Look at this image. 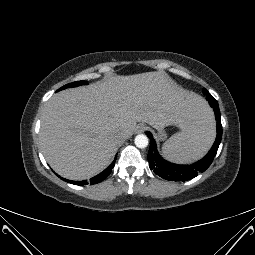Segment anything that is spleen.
Returning <instances> with one entry per match:
<instances>
[{
    "label": "spleen",
    "mask_w": 255,
    "mask_h": 255,
    "mask_svg": "<svg viewBox=\"0 0 255 255\" xmlns=\"http://www.w3.org/2000/svg\"><path fill=\"white\" fill-rule=\"evenodd\" d=\"M215 139L212 111L201 104L196 119L170 137L162 147L163 155L173 162L188 163L203 157Z\"/></svg>",
    "instance_id": "1"
}]
</instances>
